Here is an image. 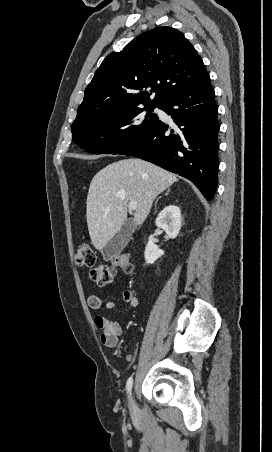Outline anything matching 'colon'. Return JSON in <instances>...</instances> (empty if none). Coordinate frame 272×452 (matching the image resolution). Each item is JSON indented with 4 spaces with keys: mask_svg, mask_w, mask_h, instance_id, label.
Instances as JSON below:
<instances>
[{
    "mask_svg": "<svg viewBox=\"0 0 272 452\" xmlns=\"http://www.w3.org/2000/svg\"><path fill=\"white\" fill-rule=\"evenodd\" d=\"M75 264L91 269V279L99 286L111 284L118 270L129 273L132 271L131 255L127 252L114 255L110 264L97 265L94 250L86 242H80L75 251Z\"/></svg>",
    "mask_w": 272,
    "mask_h": 452,
    "instance_id": "5ec220e1",
    "label": "colon"
}]
</instances>
